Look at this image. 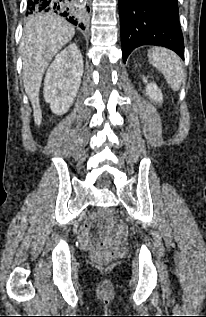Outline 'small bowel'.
Wrapping results in <instances>:
<instances>
[{"label":"small bowel","instance_id":"c3829d8e","mask_svg":"<svg viewBox=\"0 0 206 317\" xmlns=\"http://www.w3.org/2000/svg\"><path fill=\"white\" fill-rule=\"evenodd\" d=\"M98 219L96 213H92L89 218L80 226L79 228V238L83 245H86L90 240L91 237L89 235V231L93 222ZM105 234L118 241H122L126 237V229L125 227L120 224L115 228V230H105Z\"/></svg>","mask_w":206,"mask_h":317}]
</instances>
